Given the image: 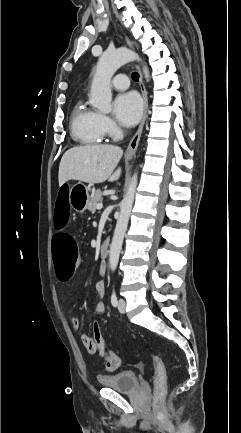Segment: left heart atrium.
I'll return each instance as SVG.
<instances>
[{
  "mask_svg": "<svg viewBox=\"0 0 241 433\" xmlns=\"http://www.w3.org/2000/svg\"><path fill=\"white\" fill-rule=\"evenodd\" d=\"M143 110V103L136 92H126L118 95L114 100V115L124 126L135 125Z\"/></svg>",
  "mask_w": 241,
  "mask_h": 433,
  "instance_id": "39dd6f15",
  "label": "left heart atrium"
}]
</instances>
